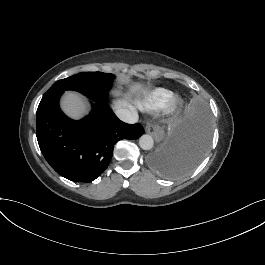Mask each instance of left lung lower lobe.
I'll use <instances>...</instances> for the list:
<instances>
[{"label": "left lung lower lobe", "instance_id": "0a47b994", "mask_svg": "<svg viewBox=\"0 0 265 265\" xmlns=\"http://www.w3.org/2000/svg\"><path fill=\"white\" fill-rule=\"evenodd\" d=\"M208 112L195 106L189 117L162 141L149 155V165L168 178L192 171L203 159L210 141Z\"/></svg>", "mask_w": 265, "mask_h": 265}]
</instances>
